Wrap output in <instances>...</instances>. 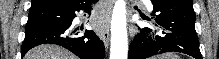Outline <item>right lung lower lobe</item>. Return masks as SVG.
<instances>
[{"mask_svg": "<svg viewBox=\"0 0 219 59\" xmlns=\"http://www.w3.org/2000/svg\"><path fill=\"white\" fill-rule=\"evenodd\" d=\"M97 0H76L68 6H42L31 12L54 10L60 13L59 21L25 31L21 54L40 44H57L77 55L80 59H103L105 55L104 43L92 30H86L84 35L78 28L72 26L75 12L85 9L91 10L92 2Z\"/></svg>", "mask_w": 219, "mask_h": 59, "instance_id": "right-lung-lower-lobe-1", "label": "right lung lower lobe"}]
</instances>
